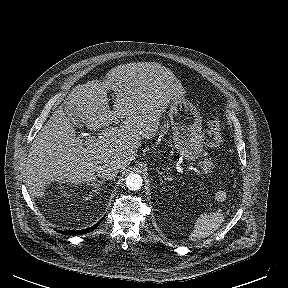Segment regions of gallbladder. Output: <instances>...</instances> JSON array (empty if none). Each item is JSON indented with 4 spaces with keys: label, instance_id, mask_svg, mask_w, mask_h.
I'll use <instances>...</instances> for the list:
<instances>
[{
    "label": "gallbladder",
    "instance_id": "bac80fb5",
    "mask_svg": "<svg viewBox=\"0 0 288 288\" xmlns=\"http://www.w3.org/2000/svg\"><path fill=\"white\" fill-rule=\"evenodd\" d=\"M71 122L79 127L83 124V117L80 113L78 112H71V114L69 115Z\"/></svg>",
    "mask_w": 288,
    "mask_h": 288
}]
</instances>
